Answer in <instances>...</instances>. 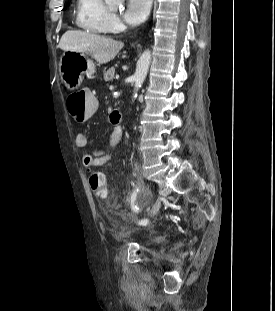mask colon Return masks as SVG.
I'll use <instances>...</instances> for the list:
<instances>
[{
  "instance_id": "5ec220e1",
  "label": "colon",
  "mask_w": 275,
  "mask_h": 311,
  "mask_svg": "<svg viewBox=\"0 0 275 311\" xmlns=\"http://www.w3.org/2000/svg\"><path fill=\"white\" fill-rule=\"evenodd\" d=\"M92 92L78 91L70 94L67 99V108L73 121H77L79 127L96 116L97 98ZM92 192L101 197L107 196L105 177L99 170H91L88 175Z\"/></svg>"
}]
</instances>
